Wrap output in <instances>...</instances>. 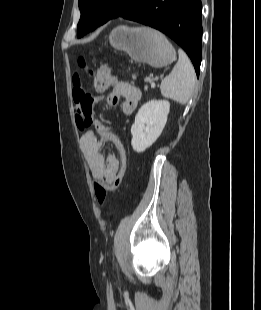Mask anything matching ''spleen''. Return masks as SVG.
I'll use <instances>...</instances> for the list:
<instances>
[{
  "label": "spleen",
  "instance_id": "3e777b00",
  "mask_svg": "<svg viewBox=\"0 0 261 310\" xmlns=\"http://www.w3.org/2000/svg\"><path fill=\"white\" fill-rule=\"evenodd\" d=\"M178 53L179 60L170 75L162 80L160 90L163 97L184 105L192 95L196 74L191 61L184 51L179 50Z\"/></svg>",
  "mask_w": 261,
  "mask_h": 310
}]
</instances>
